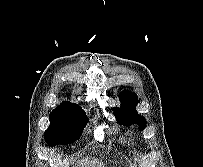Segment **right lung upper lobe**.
<instances>
[{
	"label": "right lung upper lobe",
	"instance_id": "1",
	"mask_svg": "<svg viewBox=\"0 0 203 167\" xmlns=\"http://www.w3.org/2000/svg\"><path fill=\"white\" fill-rule=\"evenodd\" d=\"M73 106H78L77 104H72L68 101L62 102L61 105L57 106L56 109H54L53 111H60V110H64V109H68L71 108Z\"/></svg>",
	"mask_w": 203,
	"mask_h": 167
}]
</instances>
